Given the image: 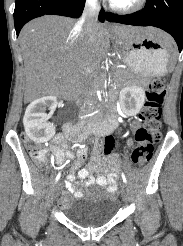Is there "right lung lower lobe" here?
<instances>
[{"mask_svg": "<svg viewBox=\"0 0 183 246\" xmlns=\"http://www.w3.org/2000/svg\"><path fill=\"white\" fill-rule=\"evenodd\" d=\"M85 0H16L14 23L17 36L21 28L30 20L43 15H62L79 18ZM99 21H105V11L101 9Z\"/></svg>", "mask_w": 183, "mask_h": 246, "instance_id": "98d812e1", "label": "right lung lower lobe"}]
</instances>
